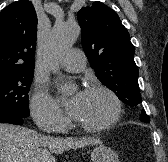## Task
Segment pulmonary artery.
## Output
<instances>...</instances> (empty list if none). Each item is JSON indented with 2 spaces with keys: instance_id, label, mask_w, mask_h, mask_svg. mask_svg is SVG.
I'll use <instances>...</instances> for the list:
<instances>
[{
  "instance_id": "e3ab8cb5",
  "label": "pulmonary artery",
  "mask_w": 168,
  "mask_h": 162,
  "mask_svg": "<svg viewBox=\"0 0 168 162\" xmlns=\"http://www.w3.org/2000/svg\"><path fill=\"white\" fill-rule=\"evenodd\" d=\"M60 65L66 71L80 72L86 66V56L80 49L73 48L62 57Z\"/></svg>"
}]
</instances>
